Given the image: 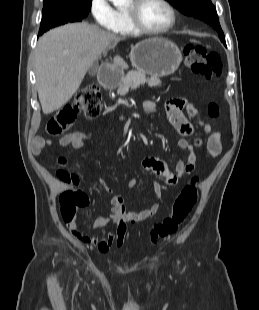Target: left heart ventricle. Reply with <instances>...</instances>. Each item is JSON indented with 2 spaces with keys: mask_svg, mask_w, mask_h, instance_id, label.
Returning <instances> with one entry per match:
<instances>
[{
  "mask_svg": "<svg viewBox=\"0 0 259 310\" xmlns=\"http://www.w3.org/2000/svg\"><path fill=\"white\" fill-rule=\"evenodd\" d=\"M139 19L148 28L160 29L169 23L170 14L159 0H145L139 10Z\"/></svg>",
  "mask_w": 259,
  "mask_h": 310,
  "instance_id": "1",
  "label": "left heart ventricle"
}]
</instances>
